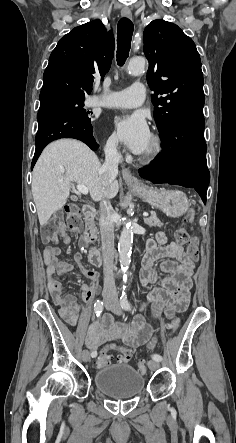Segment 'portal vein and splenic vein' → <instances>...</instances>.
Wrapping results in <instances>:
<instances>
[{
  "instance_id": "18ae733b",
  "label": "portal vein and splenic vein",
  "mask_w": 236,
  "mask_h": 443,
  "mask_svg": "<svg viewBox=\"0 0 236 443\" xmlns=\"http://www.w3.org/2000/svg\"><path fill=\"white\" fill-rule=\"evenodd\" d=\"M77 190H78L80 193L85 194V195H87V194L89 193V190L87 189V187H85V186H83V185H77ZM143 216H144V217H148V213H147V212H144V213H143Z\"/></svg>"
}]
</instances>
